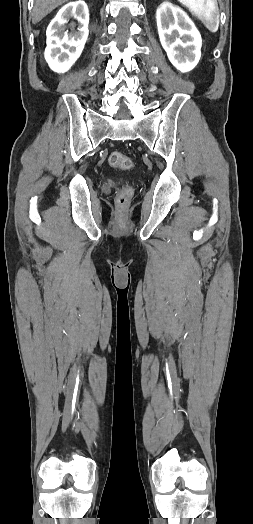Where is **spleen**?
Segmentation results:
<instances>
[{
	"mask_svg": "<svg viewBox=\"0 0 253 524\" xmlns=\"http://www.w3.org/2000/svg\"><path fill=\"white\" fill-rule=\"evenodd\" d=\"M202 21L205 27L216 32L219 27V10L216 0H178Z\"/></svg>",
	"mask_w": 253,
	"mask_h": 524,
	"instance_id": "obj_1",
	"label": "spleen"
}]
</instances>
